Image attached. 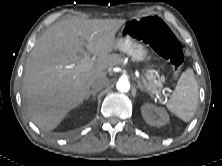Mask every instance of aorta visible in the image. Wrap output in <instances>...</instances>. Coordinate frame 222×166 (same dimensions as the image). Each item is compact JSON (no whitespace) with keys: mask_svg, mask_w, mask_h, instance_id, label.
<instances>
[{"mask_svg":"<svg viewBox=\"0 0 222 166\" xmlns=\"http://www.w3.org/2000/svg\"><path fill=\"white\" fill-rule=\"evenodd\" d=\"M116 88L120 92H128L130 90V83L126 79H120L116 84Z\"/></svg>","mask_w":222,"mask_h":166,"instance_id":"1","label":"aorta"}]
</instances>
